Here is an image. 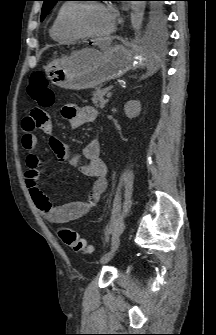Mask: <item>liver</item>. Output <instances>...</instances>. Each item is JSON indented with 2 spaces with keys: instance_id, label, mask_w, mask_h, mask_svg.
<instances>
[{
  "instance_id": "6515ba94",
  "label": "liver",
  "mask_w": 216,
  "mask_h": 335,
  "mask_svg": "<svg viewBox=\"0 0 216 335\" xmlns=\"http://www.w3.org/2000/svg\"><path fill=\"white\" fill-rule=\"evenodd\" d=\"M78 60H79L80 62L83 61V59H82L81 57H79Z\"/></svg>"
}]
</instances>
